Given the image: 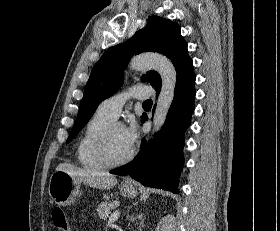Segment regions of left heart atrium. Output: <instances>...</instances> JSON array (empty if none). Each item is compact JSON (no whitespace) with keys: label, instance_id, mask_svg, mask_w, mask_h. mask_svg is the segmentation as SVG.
<instances>
[{"label":"left heart atrium","instance_id":"39dd6f15","mask_svg":"<svg viewBox=\"0 0 280 231\" xmlns=\"http://www.w3.org/2000/svg\"><path fill=\"white\" fill-rule=\"evenodd\" d=\"M121 137L125 148L131 151L138 141L139 131L135 123L121 126Z\"/></svg>","mask_w":280,"mask_h":231}]
</instances>
